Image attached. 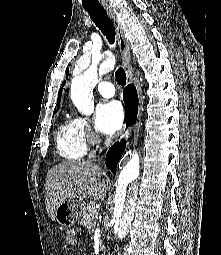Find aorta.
<instances>
[{"instance_id": "1", "label": "aorta", "mask_w": 221, "mask_h": 255, "mask_svg": "<svg viewBox=\"0 0 221 255\" xmlns=\"http://www.w3.org/2000/svg\"><path fill=\"white\" fill-rule=\"evenodd\" d=\"M102 56L92 58L91 64L82 74L73 78L70 97L80 113L90 115L94 110L93 89L99 81ZM140 161L138 154L123 166L116 180V194L113 223L119 239L126 236L131 225L138 199Z\"/></svg>"}]
</instances>
